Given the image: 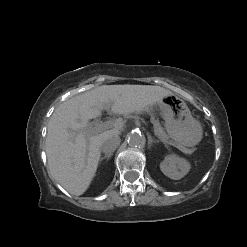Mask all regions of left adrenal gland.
Returning a JSON list of instances; mask_svg holds the SVG:
<instances>
[{"instance_id":"1","label":"left adrenal gland","mask_w":247,"mask_h":247,"mask_svg":"<svg viewBox=\"0 0 247 247\" xmlns=\"http://www.w3.org/2000/svg\"><path fill=\"white\" fill-rule=\"evenodd\" d=\"M156 142H158V141H155V140L152 139L151 136H148V146H149V147H151L152 144H153V143H156Z\"/></svg>"}]
</instances>
